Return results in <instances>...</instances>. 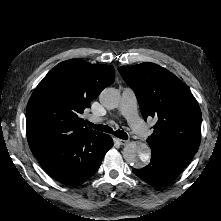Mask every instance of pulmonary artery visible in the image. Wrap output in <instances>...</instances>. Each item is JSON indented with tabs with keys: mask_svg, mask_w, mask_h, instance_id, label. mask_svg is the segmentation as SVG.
Listing matches in <instances>:
<instances>
[{
	"mask_svg": "<svg viewBox=\"0 0 221 221\" xmlns=\"http://www.w3.org/2000/svg\"><path fill=\"white\" fill-rule=\"evenodd\" d=\"M120 113L124 115L133 130L141 139H146L150 135L149 129L142 122L137 114V98L135 92L129 88H124L120 105ZM93 122H102L103 119L91 117Z\"/></svg>",
	"mask_w": 221,
	"mask_h": 221,
	"instance_id": "e3ab8cb5",
	"label": "pulmonary artery"
}]
</instances>
